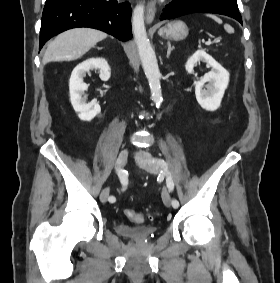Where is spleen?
<instances>
[{
  "mask_svg": "<svg viewBox=\"0 0 280 283\" xmlns=\"http://www.w3.org/2000/svg\"><path fill=\"white\" fill-rule=\"evenodd\" d=\"M208 17L212 18L213 20H215L217 23L221 24L222 23V20L218 17H216L215 15H207ZM224 29L226 30V32L228 33H234V29L228 25V24H225L224 25Z\"/></svg>",
  "mask_w": 280,
  "mask_h": 283,
  "instance_id": "3e777b00",
  "label": "spleen"
}]
</instances>
